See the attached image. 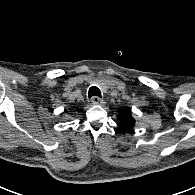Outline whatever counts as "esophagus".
I'll use <instances>...</instances> for the list:
<instances>
[{
  "instance_id": "obj_1",
  "label": "esophagus",
  "mask_w": 195,
  "mask_h": 195,
  "mask_svg": "<svg viewBox=\"0 0 195 195\" xmlns=\"http://www.w3.org/2000/svg\"><path fill=\"white\" fill-rule=\"evenodd\" d=\"M92 104L94 105H101L103 104V100L101 98H99L98 96H93L91 99Z\"/></svg>"
}]
</instances>
